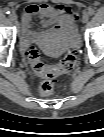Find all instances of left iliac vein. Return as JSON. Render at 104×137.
Listing matches in <instances>:
<instances>
[{
  "instance_id": "left-iliac-vein-1",
  "label": "left iliac vein",
  "mask_w": 104,
  "mask_h": 137,
  "mask_svg": "<svg viewBox=\"0 0 104 137\" xmlns=\"http://www.w3.org/2000/svg\"><path fill=\"white\" fill-rule=\"evenodd\" d=\"M89 20V15L87 13H84L82 16V22L87 23Z\"/></svg>"
}]
</instances>
